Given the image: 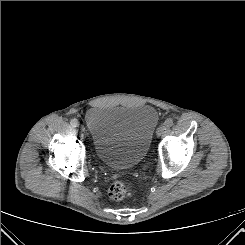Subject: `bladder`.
<instances>
[{"instance_id": "31cf9c89", "label": "bladder", "mask_w": 245, "mask_h": 245, "mask_svg": "<svg viewBox=\"0 0 245 245\" xmlns=\"http://www.w3.org/2000/svg\"><path fill=\"white\" fill-rule=\"evenodd\" d=\"M85 123L96 157L112 169L139 164L147 154L158 124L154 107L95 106L85 115Z\"/></svg>"}]
</instances>
